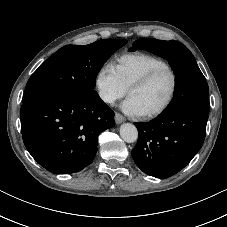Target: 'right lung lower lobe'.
I'll list each match as a JSON object with an SVG mask.
<instances>
[{
    "mask_svg": "<svg viewBox=\"0 0 227 227\" xmlns=\"http://www.w3.org/2000/svg\"><path fill=\"white\" fill-rule=\"evenodd\" d=\"M20 117L27 150L55 174L75 173L90 164L98 135L115 124L114 112L97 93L39 96L23 102Z\"/></svg>",
    "mask_w": 227,
    "mask_h": 227,
    "instance_id": "obj_1",
    "label": "right lung lower lobe"
}]
</instances>
